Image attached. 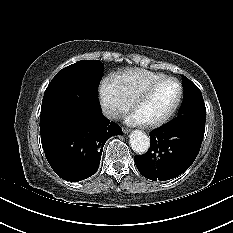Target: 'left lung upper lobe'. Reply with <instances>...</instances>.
<instances>
[{"label": "left lung upper lobe", "instance_id": "1", "mask_svg": "<svg viewBox=\"0 0 233 233\" xmlns=\"http://www.w3.org/2000/svg\"><path fill=\"white\" fill-rule=\"evenodd\" d=\"M184 97L178 115L206 116V108L200 89L188 78H183Z\"/></svg>", "mask_w": 233, "mask_h": 233}]
</instances>
